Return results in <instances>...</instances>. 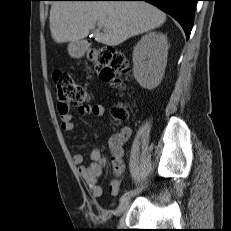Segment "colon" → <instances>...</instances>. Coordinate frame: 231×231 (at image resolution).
<instances>
[{
  "instance_id": "obj_1",
  "label": "colon",
  "mask_w": 231,
  "mask_h": 231,
  "mask_svg": "<svg viewBox=\"0 0 231 231\" xmlns=\"http://www.w3.org/2000/svg\"><path fill=\"white\" fill-rule=\"evenodd\" d=\"M89 56L96 63L97 70L103 81L111 83L114 87H121L122 80L118 74L125 72L128 68L123 52L111 46H104L93 49ZM53 78L62 112H67L73 106H81L87 101L86 90L75 82L68 72L55 71ZM112 116L115 121H122L127 117V112L124 107L116 106L112 110Z\"/></svg>"
}]
</instances>
